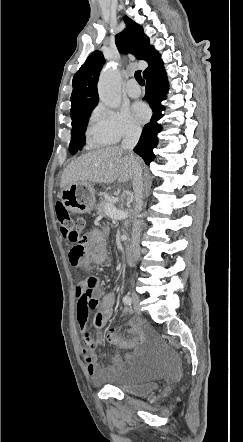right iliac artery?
I'll use <instances>...</instances> for the list:
<instances>
[{"label":"right iliac artery","instance_id":"right-iliac-artery-1","mask_svg":"<svg viewBox=\"0 0 243 442\" xmlns=\"http://www.w3.org/2000/svg\"><path fill=\"white\" fill-rule=\"evenodd\" d=\"M123 302H124V304L131 305L132 299L129 295H126L123 297Z\"/></svg>","mask_w":243,"mask_h":442}]
</instances>
